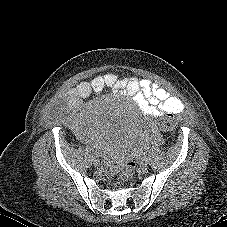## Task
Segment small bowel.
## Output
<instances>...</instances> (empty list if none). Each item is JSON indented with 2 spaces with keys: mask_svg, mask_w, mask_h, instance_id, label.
<instances>
[{
  "mask_svg": "<svg viewBox=\"0 0 227 227\" xmlns=\"http://www.w3.org/2000/svg\"><path fill=\"white\" fill-rule=\"evenodd\" d=\"M110 90L125 97L134 98L142 108L143 113L150 118H158L167 114H178L183 108V102L169 94L159 83L150 79L136 77L120 78L114 73L95 76L90 81L79 83L64 96L65 121L74 131L78 139L90 143L95 149L101 145L100 139L90 140L91 130L88 111L90 105L86 100L99 96Z\"/></svg>",
  "mask_w": 227,
  "mask_h": 227,
  "instance_id": "small-bowel-1",
  "label": "small bowel"
}]
</instances>
